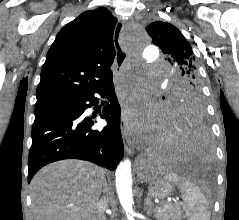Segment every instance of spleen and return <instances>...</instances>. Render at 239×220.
Wrapping results in <instances>:
<instances>
[{
    "label": "spleen",
    "mask_w": 239,
    "mask_h": 220,
    "mask_svg": "<svg viewBox=\"0 0 239 220\" xmlns=\"http://www.w3.org/2000/svg\"><path fill=\"white\" fill-rule=\"evenodd\" d=\"M163 178L178 185L186 211L185 217L188 220H210L211 213L208 202L203 193L192 182L176 173H168Z\"/></svg>",
    "instance_id": "3e777b00"
}]
</instances>
